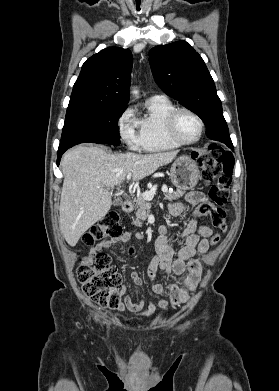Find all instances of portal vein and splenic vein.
Instances as JSON below:
<instances>
[{
	"label": "portal vein and splenic vein",
	"instance_id": "1",
	"mask_svg": "<svg viewBox=\"0 0 279 391\" xmlns=\"http://www.w3.org/2000/svg\"><path fill=\"white\" fill-rule=\"evenodd\" d=\"M131 176H132V174L131 173H128L127 174V180H130L131 179ZM156 190H157V186H154L150 191H146V192H144V193H142V197H143V199H145V200H147V201H152L153 200V198H154V194H155V192H156ZM168 191V189H167V187L166 186H163L162 187V192H167Z\"/></svg>",
	"mask_w": 279,
	"mask_h": 391
}]
</instances>
